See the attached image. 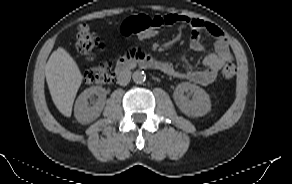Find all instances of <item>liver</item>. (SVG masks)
<instances>
[{
	"mask_svg": "<svg viewBox=\"0 0 292 184\" xmlns=\"http://www.w3.org/2000/svg\"><path fill=\"white\" fill-rule=\"evenodd\" d=\"M45 76L55 106L64 116L70 117L83 80L77 63L64 48L59 47L45 66Z\"/></svg>",
	"mask_w": 292,
	"mask_h": 184,
	"instance_id": "1",
	"label": "liver"
}]
</instances>
